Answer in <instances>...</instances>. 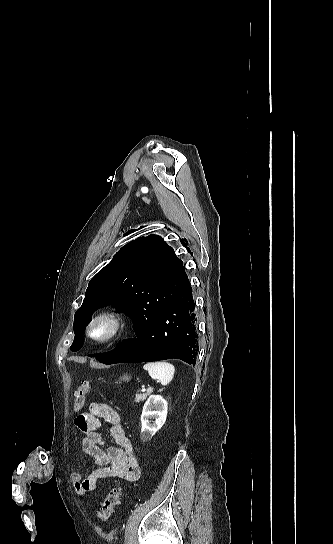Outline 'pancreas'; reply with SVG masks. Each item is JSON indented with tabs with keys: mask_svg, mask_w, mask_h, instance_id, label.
I'll list each match as a JSON object with an SVG mask.
<instances>
[{
	"mask_svg": "<svg viewBox=\"0 0 333 544\" xmlns=\"http://www.w3.org/2000/svg\"><path fill=\"white\" fill-rule=\"evenodd\" d=\"M151 393V391H147L144 394H137L134 401L137 403L144 401L149 395H151Z\"/></svg>",
	"mask_w": 333,
	"mask_h": 544,
	"instance_id": "1",
	"label": "pancreas"
}]
</instances>
